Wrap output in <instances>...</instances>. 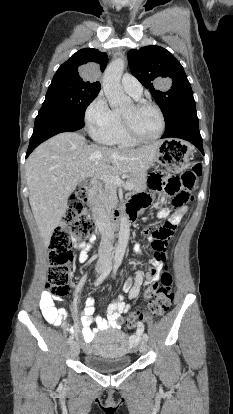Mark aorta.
<instances>
[{
    "mask_svg": "<svg viewBox=\"0 0 233 414\" xmlns=\"http://www.w3.org/2000/svg\"><path fill=\"white\" fill-rule=\"evenodd\" d=\"M125 61L122 58L115 59L106 68L103 75V90L112 109H121L131 103L121 87V77L124 71ZM130 236V223L127 214L120 217V230L118 246L115 252V262H121Z\"/></svg>",
    "mask_w": 233,
    "mask_h": 414,
    "instance_id": "762f6f07",
    "label": "aorta"
}]
</instances>
